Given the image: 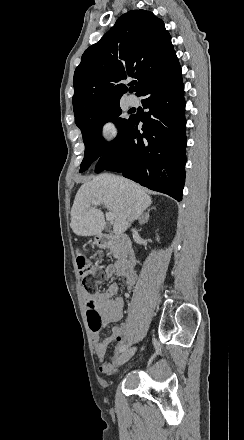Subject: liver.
Returning a JSON list of instances; mask_svg holds the SVG:
<instances>
[{
    "mask_svg": "<svg viewBox=\"0 0 244 440\" xmlns=\"http://www.w3.org/2000/svg\"><path fill=\"white\" fill-rule=\"evenodd\" d=\"M92 202H102L113 214L114 234L126 232L129 222L152 204L150 196L131 180L113 174L95 176L91 182H83L75 196L70 226L76 236H98L105 228L104 214L93 208Z\"/></svg>",
    "mask_w": 244,
    "mask_h": 440,
    "instance_id": "1",
    "label": "liver"
}]
</instances>
